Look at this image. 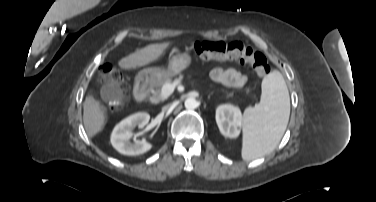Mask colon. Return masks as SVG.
Instances as JSON below:
<instances>
[{
    "label": "colon",
    "mask_w": 376,
    "mask_h": 202,
    "mask_svg": "<svg viewBox=\"0 0 376 202\" xmlns=\"http://www.w3.org/2000/svg\"><path fill=\"white\" fill-rule=\"evenodd\" d=\"M195 56L202 60H240L249 63L255 73L260 76H266L270 72V66L265 55L253 50L240 40L230 42L223 41H196L192 45ZM102 81H109L118 85L124 96L128 94L127 84L121 72L111 64H104L100 70ZM111 108L118 107L113 104Z\"/></svg>",
    "instance_id": "colon-1"
}]
</instances>
